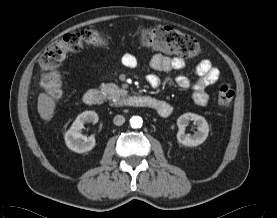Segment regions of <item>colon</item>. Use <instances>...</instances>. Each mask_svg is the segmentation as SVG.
<instances>
[{
	"mask_svg": "<svg viewBox=\"0 0 277 218\" xmlns=\"http://www.w3.org/2000/svg\"><path fill=\"white\" fill-rule=\"evenodd\" d=\"M111 40L104 30L85 29L71 32L51 43L42 53L39 65L42 69L40 86L51 98L58 100L62 96V76L57 67L68 54L78 53L84 47H106ZM135 42L142 48L153 49L165 54L194 57L200 54L199 42L190 35L169 26H157L139 29L134 33ZM234 89L223 84L217 93V103L222 109L228 108L234 98Z\"/></svg>",
	"mask_w": 277,
	"mask_h": 218,
	"instance_id": "obj_1",
	"label": "colon"
}]
</instances>
